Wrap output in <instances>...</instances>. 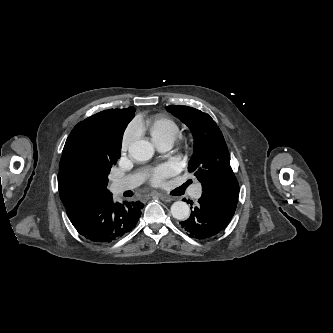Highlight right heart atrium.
Wrapping results in <instances>:
<instances>
[{"label":"right heart atrium","instance_id":"1","mask_svg":"<svg viewBox=\"0 0 333 333\" xmlns=\"http://www.w3.org/2000/svg\"><path fill=\"white\" fill-rule=\"evenodd\" d=\"M140 126L137 121H132L126 128L122 138V151H126L129 146L139 137Z\"/></svg>","mask_w":333,"mask_h":333}]
</instances>
